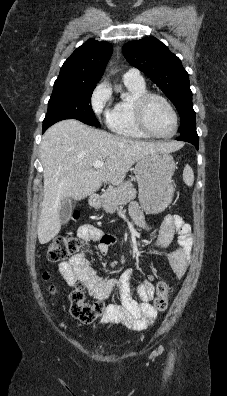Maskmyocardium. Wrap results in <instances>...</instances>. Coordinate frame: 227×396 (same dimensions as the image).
Here are the masks:
<instances>
[{
  "label": "myocardium",
  "instance_id": "obj_1",
  "mask_svg": "<svg viewBox=\"0 0 227 396\" xmlns=\"http://www.w3.org/2000/svg\"><path fill=\"white\" fill-rule=\"evenodd\" d=\"M152 99L161 100L163 103L166 104V106L169 108L170 112L172 113L173 118H174V130L172 131V133L167 134V135L158 134V133L154 132L149 127L147 120H146V109H147L148 103ZM134 113H135V119H136V122H137L139 128L144 133L149 135L150 137L168 139V138L174 137L178 131V128H179L178 113H177L174 105L172 104V102L162 94L155 93V92H146L145 94H143L142 96L137 98L134 103Z\"/></svg>",
  "mask_w": 227,
  "mask_h": 396
}]
</instances>
